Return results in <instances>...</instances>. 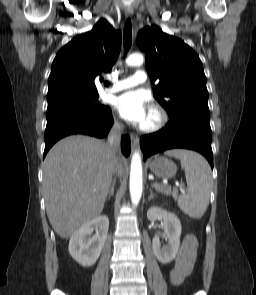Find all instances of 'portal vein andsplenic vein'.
<instances>
[{"mask_svg": "<svg viewBox=\"0 0 256 295\" xmlns=\"http://www.w3.org/2000/svg\"><path fill=\"white\" fill-rule=\"evenodd\" d=\"M156 183H152V186H154ZM177 186H179L180 188H182L183 187V184H178Z\"/></svg>", "mask_w": 256, "mask_h": 295, "instance_id": "portal-vein-and-splenic-vein-1", "label": "portal vein and splenic vein"}]
</instances>
